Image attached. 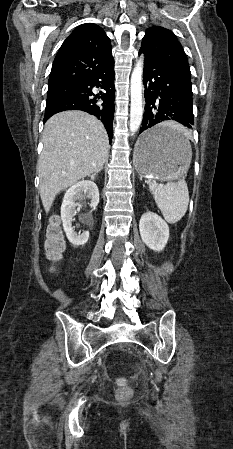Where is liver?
<instances>
[{
  "label": "liver",
  "mask_w": 233,
  "mask_h": 449,
  "mask_svg": "<svg viewBox=\"0 0 233 449\" xmlns=\"http://www.w3.org/2000/svg\"><path fill=\"white\" fill-rule=\"evenodd\" d=\"M108 149L105 128L93 115L64 111L52 116L44 127L43 151L37 163L45 212L59 192L101 171Z\"/></svg>",
  "instance_id": "obj_1"
}]
</instances>
